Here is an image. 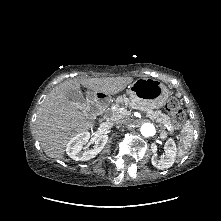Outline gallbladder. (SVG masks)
<instances>
[{"instance_id": "bac80fb5", "label": "gallbladder", "mask_w": 221, "mask_h": 221, "mask_svg": "<svg viewBox=\"0 0 221 221\" xmlns=\"http://www.w3.org/2000/svg\"><path fill=\"white\" fill-rule=\"evenodd\" d=\"M66 98L69 102L77 103V104H84L85 98L81 91L76 89H70L66 93Z\"/></svg>"}]
</instances>
